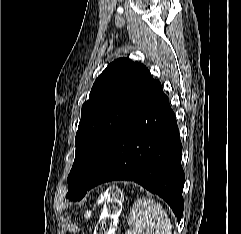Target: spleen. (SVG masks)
I'll return each instance as SVG.
<instances>
[{
    "instance_id": "spleen-1",
    "label": "spleen",
    "mask_w": 241,
    "mask_h": 234,
    "mask_svg": "<svg viewBox=\"0 0 241 234\" xmlns=\"http://www.w3.org/2000/svg\"><path fill=\"white\" fill-rule=\"evenodd\" d=\"M125 234H172V226L161 204L152 198L138 199L127 218Z\"/></svg>"
}]
</instances>
